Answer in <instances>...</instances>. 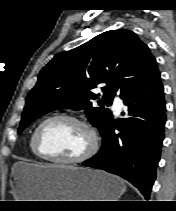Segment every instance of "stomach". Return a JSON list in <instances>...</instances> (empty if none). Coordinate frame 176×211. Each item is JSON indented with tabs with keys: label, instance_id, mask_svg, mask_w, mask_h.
<instances>
[{
	"label": "stomach",
	"instance_id": "obj_1",
	"mask_svg": "<svg viewBox=\"0 0 176 211\" xmlns=\"http://www.w3.org/2000/svg\"><path fill=\"white\" fill-rule=\"evenodd\" d=\"M11 189L16 201H117L126 185L101 170L18 162Z\"/></svg>",
	"mask_w": 176,
	"mask_h": 211
}]
</instances>
